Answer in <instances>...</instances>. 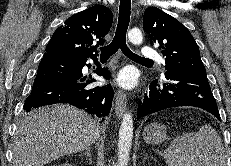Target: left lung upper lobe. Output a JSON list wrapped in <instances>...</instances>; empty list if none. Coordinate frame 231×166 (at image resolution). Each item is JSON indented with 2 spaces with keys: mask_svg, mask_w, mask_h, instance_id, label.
Returning <instances> with one entry per match:
<instances>
[{
  "mask_svg": "<svg viewBox=\"0 0 231 166\" xmlns=\"http://www.w3.org/2000/svg\"><path fill=\"white\" fill-rule=\"evenodd\" d=\"M143 28L151 44L163 49L165 70L206 73L199 48L189 30L174 17L156 7H149L143 16Z\"/></svg>",
  "mask_w": 231,
  "mask_h": 166,
  "instance_id": "5c2ea615",
  "label": "left lung upper lobe"
}]
</instances>
